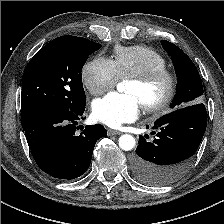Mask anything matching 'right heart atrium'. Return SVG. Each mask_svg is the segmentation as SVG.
<instances>
[{
  "instance_id": "obj_1",
  "label": "right heart atrium",
  "mask_w": 224,
  "mask_h": 224,
  "mask_svg": "<svg viewBox=\"0 0 224 224\" xmlns=\"http://www.w3.org/2000/svg\"><path fill=\"white\" fill-rule=\"evenodd\" d=\"M118 71L109 58L97 56L82 70V81L92 95H100L112 89L119 81Z\"/></svg>"
}]
</instances>
